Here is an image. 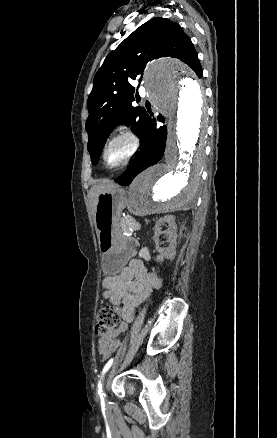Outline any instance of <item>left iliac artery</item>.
I'll return each instance as SVG.
<instances>
[{"instance_id": "obj_1", "label": "left iliac artery", "mask_w": 277, "mask_h": 438, "mask_svg": "<svg viewBox=\"0 0 277 438\" xmlns=\"http://www.w3.org/2000/svg\"><path fill=\"white\" fill-rule=\"evenodd\" d=\"M113 360H114V359L111 358V359L106 363V365H105L104 368H103L101 378L103 377V375L105 374V372L108 371V369L111 367V365H112V363H113ZM101 392H102V384H101V381H99V382H98V393H99L100 396H101Z\"/></svg>"}]
</instances>
